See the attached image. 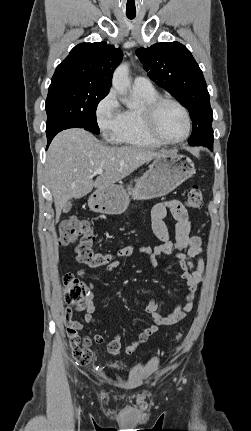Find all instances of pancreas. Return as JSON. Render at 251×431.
Returning <instances> with one entry per match:
<instances>
[{
    "label": "pancreas",
    "instance_id": "cf45deb5",
    "mask_svg": "<svg viewBox=\"0 0 251 431\" xmlns=\"http://www.w3.org/2000/svg\"><path fill=\"white\" fill-rule=\"evenodd\" d=\"M128 193L131 194V188L128 186Z\"/></svg>",
    "mask_w": 251,
    "mask_h": 431
}]
</instances>
